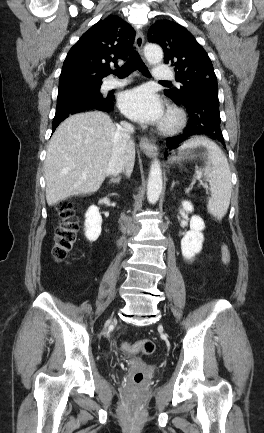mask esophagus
<instances>
[{
  "mask_svg": "<svg viewBox=\"0 0 264 433\" xmlns=\"http://www.w3.org/2000/svg\"><path fill=\"white\" fill-rule=\"evenodd\" d=\"M143 44H144V35L140 30H138L135 37V46L139 53L142 52ZM139 147L147 156H152L157 152V147L155 143L151 139L146 137H142L140 139Z\"/></svg>",
  "mask_w": 264,
  "mask_h": 433,
  "instance_id": "esophagus-1",
  "label": "esophagus"
}]
</instances>
